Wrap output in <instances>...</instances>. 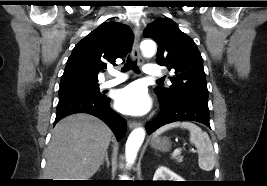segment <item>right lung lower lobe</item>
I'll use <instances>...</instances> for the list:
<instances>
[{
  "instance_id": "98d812e1",
  "label": "right lung lower lobe",
  "mask_w": 267,
  "mask_h": 186,
  "mask_svg": "<svg viewBox=\"0 0 267 186\" xmlns=\"http://www.w3.org/2000/svg\"><path fill=\"white\" fill-rule=\"evenodd\" d=\"M76 113H88L98 117L112 129L117 140L126 133V121L110 108V98L104 95L96 97L72 93L59 97L54 125L62 118Z\"/></svg>"
}]
</instances>
